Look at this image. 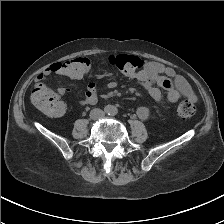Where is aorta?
I'll return each instance as SVG.
<instances>
[{
  "label": "aorta",
  "mask_w": 224,
  "mask_h": 224,
  "mask_svg": "<svg viewBox=\"0 0 224 224\" xmlns=\"http://www.w3.org/2000/svg\"><path fill=\"white\" fill-rule=\"evenodd\" d=\"M107 113L110 114V115H116L117 114V108L115 106H110L108 109H107Z\"/></svg>",
  "instance_id": "1"
}]
</instances>
